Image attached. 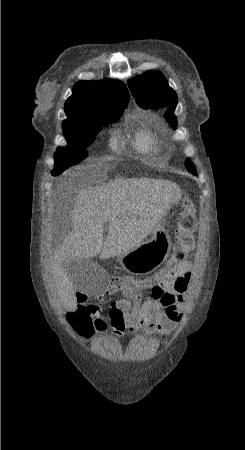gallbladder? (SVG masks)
Returning a JSON list of instances; mask_svg holds the SVG:
<instances>
[{"instance_id":"1","label":"gallbladder","mask_w":245,"mask_h":450,"mask_svg":"<svg viewBox=\"0 0 245 450\" xmlns=\"http://www.w3.org/2000/svg\"><path fill=\"white\" fill-rule=\"evenodd\" d=\"M89 260L83 259V260H72L67 263V271L68 275L71 279H74L75 281L78 280L79 276H81L85 270V268L88 266Z\"/></svg>"}]
</instances>
